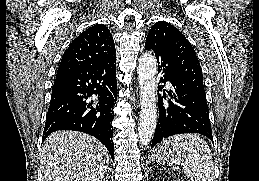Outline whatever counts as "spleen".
Wrapping results in <instances>:
<instances>
[{
    "label": "spleen",
    "instance_id": "3e777b00",
    "mask_svg": "<svg viewBox=\"0 0 259 181\" xmlns=\"http://www.w3.org/2000/svg\"><path fill=\"white\" fill-rule=\"evenodd\" d=\"M163 146H172L181 158L184 173L191 181H213L214 164L211 150L197 134H177L165 139ZM174 170L179 167L173 166Z\"/></svg>",
    "mask_w": 259,
    "mask_h": 181
}]
</instances>
